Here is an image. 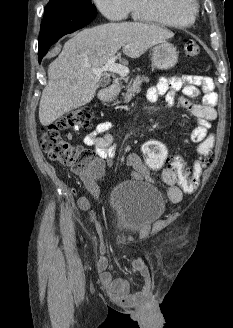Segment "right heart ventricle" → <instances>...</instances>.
Wrapping results in <instances>:
<instances>
[{"label": "right heart ventricle", "instance_id": "obj_1", "mask_svg": "<svg viewBox=\"0 0 233 328\" xmlns=\"http://www.w3.org/2000/svg\"><path fill=\"white\" fill-rule=\"evenodd\" d=\"M175 0H131L130 14L134 20L158 23L175 28L189 27L193 20L181 16L172 7Z\"/></svg>", "mask_w": 233, "mask_h": 328}]
</instances>
